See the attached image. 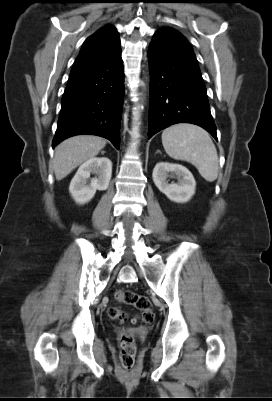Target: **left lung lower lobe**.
<instances>
[{"label": "left lung lower lobe", "mask_w": 272, "mask_h": 401, "mask_svg": "<svg viewBox=\"0 0 272 401\" xmlns=\"http://www.w3.org/2000/svg\"><path fill=\"white\" fill-rule=\"evenodd\" d=\"M150 110L148 138L176 123H192L216 140V126L192 48L159 29L149 45Z\"/></svg>", "instance_id": "0a47b994"}]
</instances>
